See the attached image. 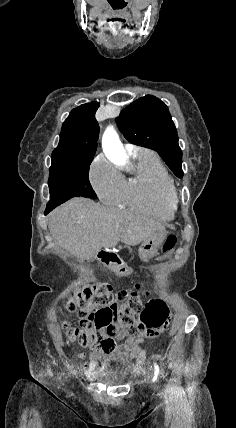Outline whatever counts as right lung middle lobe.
I'll return each instance as SVG.
<instances>
[{
  "instance_id": "1",
  "label": "right lung middle lobe",
  "mask_w": 236,
  "mask_h": 428,
  "mask_svg": "<svg viewBox=\"0 0 236 428\" xmlns=\"http://www.w3.org/2000/svg\"><path fill=\"white\" fill-rule=\"evenodd\" d=\"M92 160L52 161L48 186L50 201L47 207L58 206L73 197L96 198L89 182Z\"/></svg>"
}]
</instances>
